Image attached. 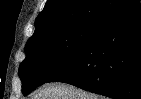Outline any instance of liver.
I'll return each mask as SVG.
<instances>
[{
    "instance_id": "6515ba94",
    "label": "liver",
    "mask_w": 141,
    "mask_h": 99,
    "mask_svg": "<svg viewBox=\"0 0 141 99\" xmlns=\"http://www.w3.org/2000/svg\"><path fill=\"white\" fill-rule=\"evenodd\" d=\"M31 99H104L102 96L81 90L75 86L53 83L37 90Z\"/></svg>"
}]
</instances>
